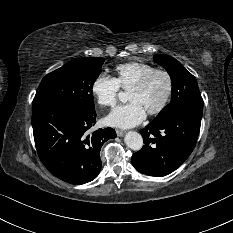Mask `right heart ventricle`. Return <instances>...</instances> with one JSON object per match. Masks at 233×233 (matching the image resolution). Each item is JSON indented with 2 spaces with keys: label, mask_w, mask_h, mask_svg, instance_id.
Listing matches in <instances>:
<instances>
[{
  "label": "right heart ventricle",
  "mask_w": 233,
  "mask_h": 233,
  "mask_svg": "<svg viewBox=\"0 0 233 233\" xmlns=\"http://www.w3.org/2000/svg\"><path fill=\"white\" fill-rule=\"evenodd\" d=\"M154 66L138 61L127 62L115 68V80L122 89H131L146 74L153 71Z\"/></svg>",
  "instance_id": "obj_1"
}]
</instances>
